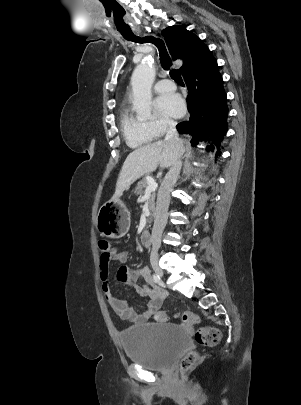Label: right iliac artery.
<instances>
[{"mask_svg":"<svg viewBox=\"0 0 301 405\" xmlns=\"http://www.w3.org/2000/svg\"><path fill=\"white\" fill-rule=\"evenodd\" d=\"M153 281L155 283H158V284L161 282L160 277L158 275H155V274H153Z\"/></svg>","mask_w":301,"mask_h":405,"instance_id":"right-iliac-artery-1","label":"right iliac artery"}]
</instances>
